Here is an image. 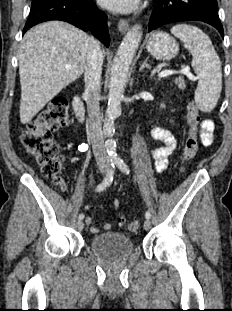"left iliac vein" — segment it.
<instances>
[{"instance_id": "1", "label": "left iliac vein", "mask_w": 232, "mask_h": 311, "mask_svg": "<svg viewBox=\"0 0 232 311\" xmlns=\"http://www.w3.org/2000/svg\"><path fill=\"white\" fill-rule=\"evenodd\" d=\"M151 228V221L149 219L144 222V229L149 230Z\"/></svg>"}]
</instances>
